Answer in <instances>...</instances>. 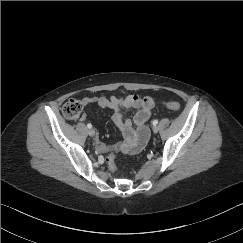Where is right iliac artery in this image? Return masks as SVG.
Wrapping results in <instances>:
<instances>
[{"mask_svg":"<svg viewBox=\"0 0 243 243\" xmlns=\"http://www.w3.org/2000/svg\"><path fill=\"white\" fill-rule=\"evenodd\" d=\"M87 127L90 129V128H92V125L89 123V124H87Z\"/></svg>","mask_w":243,"mask_h":243,"instance_id":"obj_1","label":"right iliac artery"}]
</instances>
